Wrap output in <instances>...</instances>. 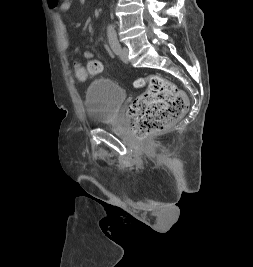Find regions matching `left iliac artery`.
I'll return each instance as SVG.
<instances>
[{
	"label": "left iliac artery",
	"instance_id": "44dca946",
	"mask_svg": "<svg viewBox=\"0 0 253 267\" xmlns=\"http://www.w3.org/2000/svg\"><path fill=\"white\" fill-rule=\"evenodd\" d=\"M107 35H108V40H109V44H110V46L112 48V51L115 54H118L120 49H121V46H120V43L118 41L116 32H115L113 27H108Z\"/></svg>",
	"mask_w": 253,
	"mask_h": 267
}]
</instances>
